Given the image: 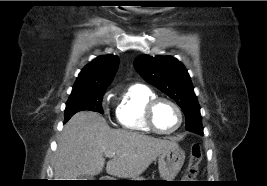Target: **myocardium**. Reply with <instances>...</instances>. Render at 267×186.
<instances>
[{"mask_svg":"<svg viewBox=\"0 0 267 186\" xmlns=\"http://www.w3.org/2000/svg\"><path fill=\"white\" fill-rule=\"evenodd\" d=\"M160 102H167L169 103L170 105H172L177 114H178V123L177 125L170 131H163V130H160L155 122H154V111H155V108L156 106L160 103ZM144 120H145V123L146 125L151 129V131H153L154 133H157V134H160V135H171V134H174L176 133L180 127L182 126L183 124V120H184V117H183V112H182V109L181 107L172 99L170 98H167V97H163V96H155L153 97L152 99H150L148 101V103L146 104L145 106V110H144Z\"/></svg>","mask_w":267,"mask_h":186,"instance_id":"myocardium-1","label":"myocardium"}]
</instances>
